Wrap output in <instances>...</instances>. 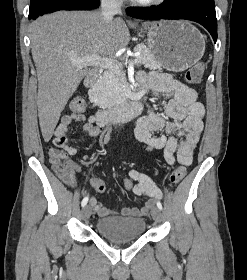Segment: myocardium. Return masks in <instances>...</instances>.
<instances>
[{
  "label": "myocardium",
  "instance_id": "f54148a6",
  "mask_svg": "<svg viewBox=\"0 0 247 280\" xmlns=\"http://www.w3.org/2000/svg\"><path fill=\"white\" fill-rule=\"evenodd\" d=\"M134 5L141 7H151L162 4L165 0H130Z\"/></svg>",
  "mask_w": 247,
  "mask_h": 280
}]
</instances>
